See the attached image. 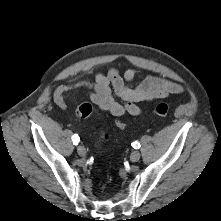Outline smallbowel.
Here are the masks:
<instances>
[{
  "instance_id": "1",
  "label": "small bowel",
  "mask_w": 221,
  "mask_h": 221,
  "mask_svg": "<svg viewBox=\"0 0 221 221\" xmlns=\"http://www.w3.org/2000/svg\"><path fill=\"white\" fill-rule=\"evenodd\" d=\"M85 75H94V79H82ZM136 76L137 70L134 68H127L123 75L117 68H111L107 73L87 70L71 77L67 84L58 86L53 93L54 102L64 110L67 108V95L72 91L84 89L89 92L90 100L100 110L115 117L125 114L137 116L142 112L139 103L164 99L183 91L180 84L155 76L146 77L138 85L132 86ZM116 97L121 99L122 103L118 102Z\"/></svg>"
}]
</instances>
